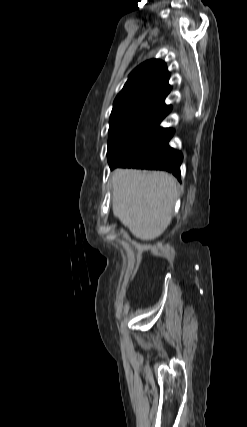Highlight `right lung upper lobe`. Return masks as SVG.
<instances>
[{
	"mask_svg": "<svg viewBox=\"0 0 247 427\" xmlns=\"http://www.w3.org/2000/svg\"><path fill=\"white\" fill-rule=\"evenodd\" d=\"M170 74L166 64L158 59L146 61L135 68L117 95L111 114L140 111L151 114L165 106L170 92Z\"/></svg>",
	"mask_w": 247,
	"mask_h": 427,
	"instance_id": "obj_1",
	"label": "right lung upper lobe"
}]
</instances>
